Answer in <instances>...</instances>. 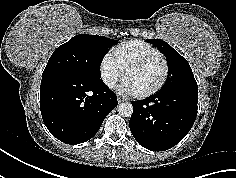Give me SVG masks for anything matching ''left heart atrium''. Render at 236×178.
Listing matches in <instances>:
<instances>
[{
  "mask_svg": "<svg viewBox=\"0 0 236 178\" xmlns=\"http://www.w3.org/2000/svg\"><path fill=\"white\" fill-rule=\"evenodd\" d=\"M117 91L120 93H126V94H136L135 89L133 86L127 81H122L117 87Z\"/></svg>",
  "mask_w": 236,
  "mask_h": 178,
  "instance_id": "1",
  "label": "left heart atrium"
}]
</instances>
